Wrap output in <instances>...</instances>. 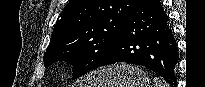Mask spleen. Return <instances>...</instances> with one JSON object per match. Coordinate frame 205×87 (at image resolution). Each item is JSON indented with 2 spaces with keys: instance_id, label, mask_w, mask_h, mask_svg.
<instances>
[{
  "instance_id": "1",
  "label": "spleen",
  "mask_w": 205,
  "mask_h": 87,
  "mask_svg": "<svg viewBox=\"0 0 205 87\" xmlns=\"http://www.w3.org/2000/svg\"><path fill=\"white\" fill-rule=\"evenodd\" d=\"M154 87H164V84L158 79H154Z\"/></svg>"
}]
</instances>
